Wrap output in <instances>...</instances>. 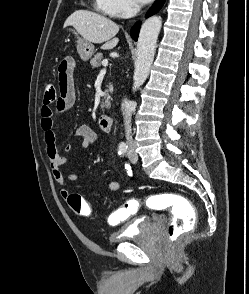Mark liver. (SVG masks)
Wrapping results in <instances>:
<instances>
[{
  "instance_id": "obj_1",
  "label": "liver",
  "mask_w": 249,
  "mask_h": 294,
  "mask_svg": "<svg viewBox=\"0 0 249 294\" xmlns=\"http://www.w3.org/2000/svg\"><path fill=\"white\" fill-rule=\"evenodd\" d=\"M73 26L86 41L104 43L102 49L114 48L119 39L115 35L119 26L110 19L88 10H77L64 23V27Z\"/></svg>"
}]
</instances>
